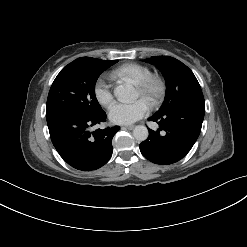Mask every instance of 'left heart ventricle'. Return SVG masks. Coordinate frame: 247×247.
<instances>
[{"label": "left heart ventricle", "instance_id": "obj_1", "mask_svg": "<svg viewBox=\"0 0 247 247\" xmlns=\"http://www.w3.org/2000/svg\"><path fill=\"white\" fill-rule=\"evenodd\" d=\"M137 95L140 96L138 89H137Z\"/></svg>", "mask_w": 247, "mask_h": 247}]
</instances>
